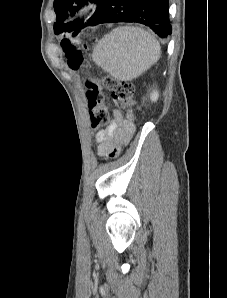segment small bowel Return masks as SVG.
Segmentation results:
<instances>
[{
  "label": "small bowel",
  "instance_id": "1",
  "mask_svg": "<svg viewBox=\"0 0 227 298\" xmlns=\"http://www.w3.org/2000/svg\"><path fill=\"white\" fill-rule=\"evenodd\" d=\"M113 120L96 134L97 154L109 157L117 153L121 145H126L135 133V124L131 118H124L122 113L113 109Z\"/></svg>",
  "mask_w": 227,
  "mask_h": 298
}]
</instances>
